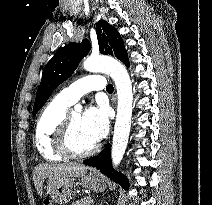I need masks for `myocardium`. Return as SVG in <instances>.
<instances>
[{"mask_svg": "<svg viewBox=\"0 0 212 205\" xmlns=\"http://www.w3.org/2000/svg\"><path fill=\"white\" fill-rule=\"evenodd\" d=\"M71 114H66L58 126L55 136L54 145L58 153L66 158L79 159L92 155L98 148L95 142L91 147L83 151H76L70 144V127H71Z\"/></svg>", "mask_w": 212, "mask_h": 205, "instance_id": "1", "label": "myocardium"}]
</instances>
